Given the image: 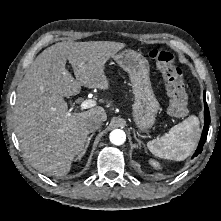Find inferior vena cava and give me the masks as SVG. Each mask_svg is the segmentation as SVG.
I'll use <instances>...</instances> for the list:
<instances>
[{
  "label": "inferior vena cava",
  "mask_w": 221,
  "mask_h": 221,
  "mask_svg": "<svg viewBox=\"0 0 221 221\" xmlns=\"http://www.w3.org/2000/svg\"><path fill=\"white\" fill-rule=\"evenodd\" d=\"M103 119L98 115H93L89 117V119L86 122V128L88 132H94L96 131L102 124Z\"/></svg>",
  "instance_id": "1"
}]
</instances>
